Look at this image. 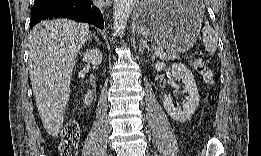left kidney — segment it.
<instances>
[{"instance_id": "obj_1", "label": "left kidney", "mask_w": 261, "mask_h": 156, "mask_svg": "<svg viewBox=\"0 0 261 156\" xmlns=\"http://www.w3.org/2000/svg\"><path fill=\"white\" fill-rule=\"evenodd\" d=\"M166 64L157 62L154 69L157 72L162 71ZM172 75L174 79L181 81L184 84V92L187 94L186 102L183 103V108L176 107L172 100L164 94L163 105L169 116L178 122H185L191 118L196 108L199 105L200 96L196 86V82L191 71L181 63L172 65Z\"/></svg>"}]
</instances>
